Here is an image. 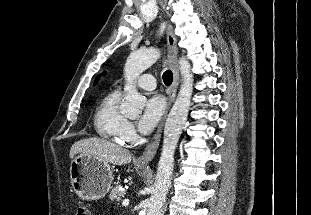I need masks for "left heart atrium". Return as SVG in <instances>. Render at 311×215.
I'll use <instances>...</instances> for the list:
<instances>
[{
  "label": "left heart atrium",
  "mask_w": 311,
  "mask_h": 215,
  "mask_svg": "<svg viewBox=\"0 0 311 215\" xmlns=\"http://www.w3.org/2000/svg\"><path fill=\"white\" fill-rule=\"evenodd\" d=\"M165 109V101L161 96L150 97L144 106L142 115L138 121L141 133L147 134L153 130L161 119Z\"/></svg>",
  "instance_id": "39dd6f15"
}]
</instances>
